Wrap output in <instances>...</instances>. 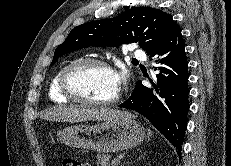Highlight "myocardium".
<instances>
[{
  "instance_id": "obj_1",
  "label": "myocardium",
  "mask_w": 231,
  "mask_h": 166,
  "mask_svg": "<svg viewBox=\"0 0 231 166\" xmlns=\"http://www.w3.org/2000/svg\"><path fill=\"white\" fill-rule=\"evenodd\" d=\"M88 66H100L103 67L113 73H115L114 68L110 63L103 59L99 58H82V59H77L73 62H71L68 66L64 68L62 71V74L59 79V88L61 93L68 98L69 100L86 104V105H93V106H112L116 104L120 98H121V90L119 89L117 94L109 99V100H94V99H89L86 97H83L76 93L71 85H70V78L71 76L78 71L79 69L88 67Z\"/></svg>"
}]
</instances>
